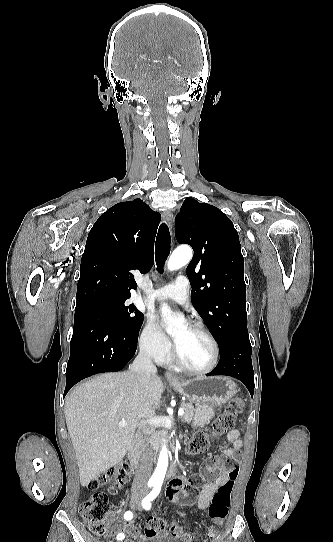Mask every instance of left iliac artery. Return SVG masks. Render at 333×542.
<instances>
[{"label": "left iliac artery", "instance_id": "left-iliac-artery-1", "mask_svg": "<svg viewBox=\"0 0 333 542\" xmlns=\"http://www.w3.org/2000/svg\"><path fill=\"white\" fill-rule=\"evenodd\" d=\"M162 486V482L155 483L153 490L151 493L147 496V499L142 502V506L145 510H150L151 508V501H153L158 494L160 493Z\"/></svg>", "mask_w": 333, "mask_h": 542}]
</instances>
